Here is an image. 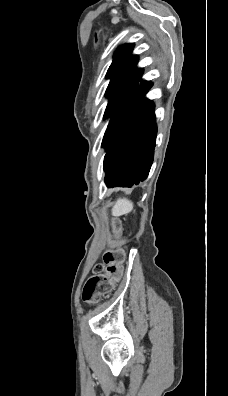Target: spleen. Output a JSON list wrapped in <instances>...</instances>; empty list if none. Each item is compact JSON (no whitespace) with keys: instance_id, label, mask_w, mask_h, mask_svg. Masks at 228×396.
<instances>
[{"instance_id":"obj_1","label":"spleen","mask_w":228,"mask_h":396,"mask_svg":"<svg viewBox=\"0 0 228 396\" xmlns=\"http://www.w3.org/2000/svg\"><path fill=\"white\" fill-rule=\"evenodd\" d=\"M133 208V203L126 198H119L112 209V215L119 216L130 212Z\"/></svg>"}]
</instances>
